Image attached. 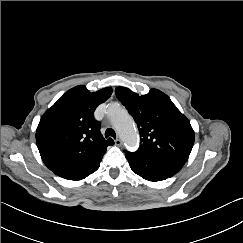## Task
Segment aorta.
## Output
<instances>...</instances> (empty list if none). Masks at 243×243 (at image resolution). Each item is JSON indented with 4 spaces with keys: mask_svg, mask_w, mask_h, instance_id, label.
I'll use <instances>...</instances> for the list:
<instances>
[{
    "mask_svg": "<svg viewBox=\"0 0 243 243\" xmlns=\"http://www.w3.org/2000/svg\"><path fill=\"white\" fill-rule=\"evenodd\" d=\"M108 113L112 124L123 139L125 146L129 149H135L137 147V136L131 119L123 115L121 109L116 106H110Z\"/></svg>",
    "mask_w": 243,
    "mask_h": 243,
    "instance_id": "1",
    "label": "aorta"
}]
</instances>
